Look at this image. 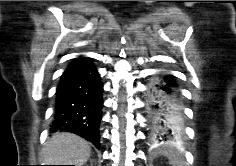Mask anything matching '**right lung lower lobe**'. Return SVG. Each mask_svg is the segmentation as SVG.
Wrapping results in <instances>:
<instances>
[{
    "instance_id": "98d812e1",
    "label": "right lung lower lobe",
    "mask_w": 236,
    "mask_h": 166,
    "mask_svg": "<svg viewBox=\"0 0 236 166\" xmlns=\"http://www.w3.org/2000/svg\"><path fill=\"white\" fill-rule=\"evenodd\" d=\"M102 93L103 83L92 59L70 64L56 90L51 132H72L99 148Z\"/></svg>"
}]
</instances>
